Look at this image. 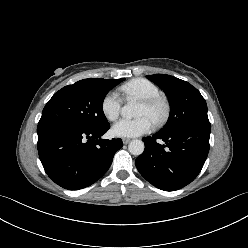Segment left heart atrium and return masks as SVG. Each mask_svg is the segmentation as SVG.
Returning a JSON list of instances; mask_svg holds the SVG:
<instances>
[{
    "label": "left heart atrium",
    "mask_w": 248,
    "mask_h": 248,
    "mask_svg": "<svg viewBox=\"0 0 248 248\" xmlns=\"http://www.w3.org/2000/svg\"><path fill=\"white\" fill-rule=\"evenodd\" d=\"M152 121L146 116H139L134 119L123 118L112 127V133L118 137H137L152 130Z\"/></svg>",
    "instance_id": "39dd6f15"
}]
</instances>
